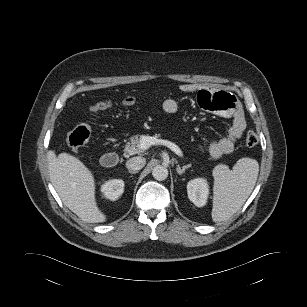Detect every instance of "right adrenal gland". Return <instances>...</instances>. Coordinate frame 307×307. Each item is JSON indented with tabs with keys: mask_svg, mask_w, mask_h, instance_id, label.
<instances>
[{
	"mask_svg": "<svg viewBox=\"0 0 307 307\" xmlns=\"http://www.w3.org/2000/svg\"><path fill=\"white\" fill-rule=\"evenodd\" d=\"M129 173H131V174H136V173H138L137 171H131V170H129Z\"/></svg>",
	"mask_w": 307,
	"mask_h": 307,
	"instance_id": "right-adrenal-gland-1",
	"label": "right adrenal gland"
}]
</instances>
